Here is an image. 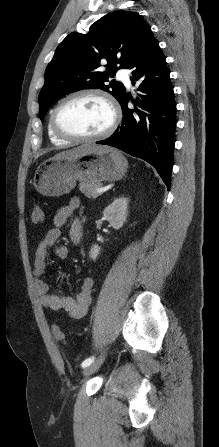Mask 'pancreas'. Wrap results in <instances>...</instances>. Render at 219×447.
<instances>
[{
    "instance_id": "obj_1",
    "label": "pancreas",
    "mask_w": 219,
    "mask_h": 447,
    "mask_svg": "<svg viewBox=\"0 0 219 447\" xmlns=\"http://www.w3.org/2000/svg\"><path fill=\"white\" fill-rule=\"evenodd\" d=\"M102 187L101 183H85L79 184L80 191L88 198H97L100 193L96 192V188Z\"/></svg>"
}]
</instances>
